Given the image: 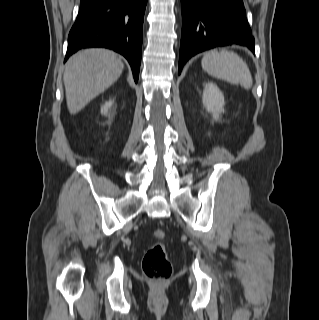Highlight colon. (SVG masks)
<instances>
[{
	"instance_id": "obj_1",
	"label": "colon",
	"mask_w": 319,
	"mask_h": 320,
	"mask_svg": "<svg viewBox=\"0 0 319 320\" xmlns=\"http://www.w3.org/2000/svg\"><path fill=\"white\" fill-rule=\"evenodd\" d=\"M153 236L159 241L153 244L145 253L142 260V269L145 276L151 280H165L172 274V265L167 257L166 246L162 242L166 233L155 230Z\"/></svg>"
}]
</instances>
